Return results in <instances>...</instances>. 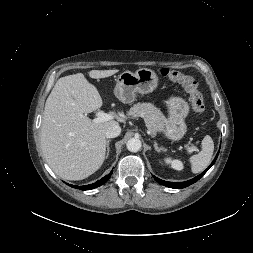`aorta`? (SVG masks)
<instances>
[{
    "instance_id": "1",
    "label": "aorta",
    "mask_w": 253,
    "mask_h": 253,
    "mask_svg": "<svg viewBox=\"0 0 253 253\" xmlns=\"http://www.w3.org/2000/svg\"><path fill=\"white\" fill-rule=\"evenodd\" d=\"M126 146L130 152H138L142 147V143L138 138H131L127 141Z\"/></svg>"
}]
</instances>
